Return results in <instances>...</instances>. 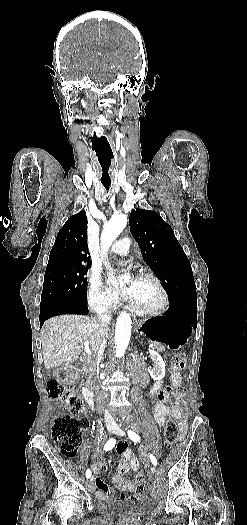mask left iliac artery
<instances>
[{"label": "left iliac artery", "instance_id": "obj_1", "mask_svg": "<svg viewBox=\"0 0 247 525\" xmlns=\"http://www.w3.org/2000/svg\"><path fill=\"white\" fill-rule=\"evenodd\" d=\"M128 436L134 442H140V437L135 432L128 430ZM150 459H151L152 464L154 466H157V459L152 454H150Z\"/></svg>", "mask_w": 247, "mask_h": 525}]
</instances>
